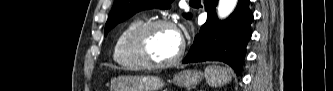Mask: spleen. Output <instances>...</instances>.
<instances>
[{
  "instance_id": "1",
  "label": "spleen",
  "mask_w": 333,
  "mask_h": 91,
  "mask_svg": "<svg viewBox=\"0 0 333 91\" xmlns=\"http://www.w3.org/2000/svg\"><path fill=\"white\" fill-rule=\"evenodd\" d=\"M233 71L231 68L222 66H207L205 69V77L207 83L212 87H220L231 81Z\"/></svg>"
}]
</instances>
